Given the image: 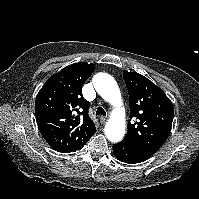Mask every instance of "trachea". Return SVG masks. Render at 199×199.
Returning <instances> with one entry per match:
<instances>
[{
  "instance_id": "1",
  "label": "trachea",
  "mask_w": 199,
  "mask_h": 199,
  "mask_svg": "<svg viewBox=\"0 0 199 199\" xmlns=\"http://www.w3.org/2000/svg\"><path fill=\"white\" fill-rule=\"evenodd\" d=\"M96 115L106 116V112L102 107H98L96 110Z\"/></svg>"
}]
</instances>
